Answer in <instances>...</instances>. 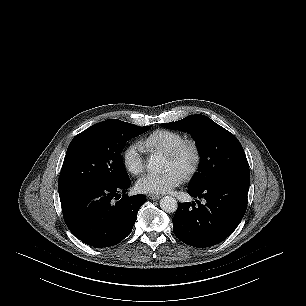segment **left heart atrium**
<instances>
[{
  "label": "left heart atrium",
  "instance_id": "1",
  "mask_svg": "<svg viewBox=\"0 0 306 306\" xmlns=\"http://www.w3.org/2000/svg\"><path fill=\"white\" fill-rule=\"evenodd\" d=\"M183 180L184 175L176 169H170L161 174L144 175L136 182V188L145 194H164L179 186Z\"/></svg>",
  "mask_w": 306,
  "mask_h": 306
}]
</instances>
